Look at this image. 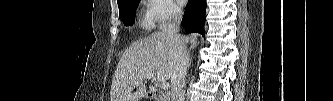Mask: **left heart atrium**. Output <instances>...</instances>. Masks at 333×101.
<instances>
[{
  "label": "left heart atrium",
  "instance_id": "1",
  "mask_svg": "<svg viewBox=\"0 0 333 101\" xmlns=\"http://www.w3.org/2000/svg\"><path fill=\"white\" fill-rule=\"evenodd\" d=\"M178 4L181 6L184 4V1H178Z\"/></svg>",
  "mask_w": 333,
  "mask_h": 101
}]
</instances>
